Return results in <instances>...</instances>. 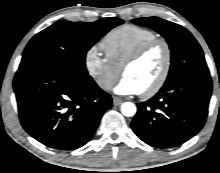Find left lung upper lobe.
<instances>
[{
	"instance_id": "left-lung-upper-lobe-1",
	"label": "left lung upper lobe",
	"mask_w": 220,
	"mask_h": 173,
	"mask_svg": "<svg viewBox=\"0 0 220 173\" xmlns=\"http://www.w3.org/2000/svg\"><path fill=\"white\" fill-rule=\"evenodd\" d=\"M132 22L149 26L166 38L171 50V67L164 86L184 79L210 77L203 51L187 29L158 17L138 18Z\"/></svg>"
}]
</instances>
